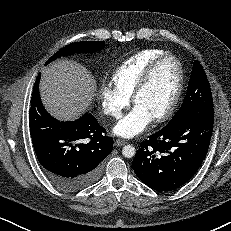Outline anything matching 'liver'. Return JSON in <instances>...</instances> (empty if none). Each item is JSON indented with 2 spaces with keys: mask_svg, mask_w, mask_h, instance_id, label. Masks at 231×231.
Segmentation results:
<instances>
[{
  "mask_svg": "<svg viewBox=\"0 0 231 231\" xmlns=\"http://www.w3.org/2000/svg\"><path fill=\"white\" fill-rule=\"evenodd\" d=\"M96 91L91 73L80 64L59 60L42 70L41 98L59 120H74L88 109Z\"/></svg>",
  "mask_w": 231,
  "mask_h": 231,
  "instance_id": "obj_1",
  "label": "liver"
}]
</instances>
